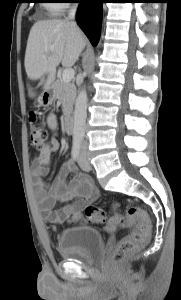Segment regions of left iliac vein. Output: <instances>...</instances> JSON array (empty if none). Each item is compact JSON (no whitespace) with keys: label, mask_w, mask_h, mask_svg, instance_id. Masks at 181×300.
Masks as SVG:
<instances>
[{"label":"left iliac vein","mask_w":181,"mask_h":300,"mask_svg":"<svg viewBox=\"0 0 181 300\" xmlns=\"http://www.w3.org/2000/svg\"><path fill=\"white\" fill-rule=\"evenodd\" d=\"M78 164L80 168L84 171H89L91 169V165L87 159L86 152L84 150H81L80 152Z\"/></svg>","instance_id":"1"}]
</instances>
